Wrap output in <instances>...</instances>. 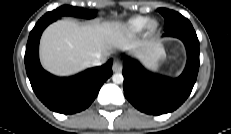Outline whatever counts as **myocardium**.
I'll list each match as a JSON object with an SVG mask.
<instances>
[{
	"label": "myocardium",
	"mask_w": 231,
	"mask_h": 134,
	"mask_svg": "<svg viewBox=\"0 0 231 134\" xmlns=\"http://www.w3.org/2000/svg\"><path fill=\"white\" fill-rule=\"evenodd\" d=\"M144 29L146 35L152 36L158 31L159 23L156 20H149Z\"/></svg>",
	"instance_id": "obj_1"
}]
</instances>
